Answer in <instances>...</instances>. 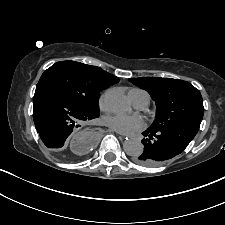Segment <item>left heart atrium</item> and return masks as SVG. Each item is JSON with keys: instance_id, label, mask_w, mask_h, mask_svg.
Instances as JSON below:
<instances>
[{"instance_id": "obj_1", "label": "left heart atrium", "mask_w": 225, "mask_h": 225, "mask_svg": "<svg viewBox=\"0 0 225 225\" xmlns=\"http://www.w3.org/2000/svg\"><path fill=\"white\" fill-rule=\"evenodd\" d=\"M105 123L111 129L123 134L139 131L145 125L141 117L121 113L108 115L105 117Z\"/></svg>"}]
</instances>
